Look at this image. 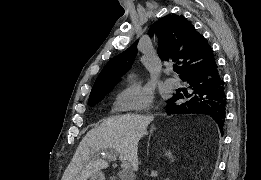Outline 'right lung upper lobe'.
I'll use <instances>...</instances> for the list:
<instances>
[{
  "instance_id": "right-lung-upper-lobe-1",
  "label": "right lung upper lobe",
  "mask_w": 261,
  "mask_h": 180,
  "mask_svg": "<svg viewBox=\"0 0 261 180\" xmlns=\"http://www.w3.org/2000/svg\"><path fill=\"white\" fill-rule=\"evenodd\" d=\"M159 39L158 54L166 61L180 64V78L191 70L212 63L213 50L206 39L196 31L184 17L167 15L157 21L149 30ZM138 40L126 51L112 58L97 77L90 98L108 94L131 68L137 54Z\"/></svg>"
}]
</instances>
